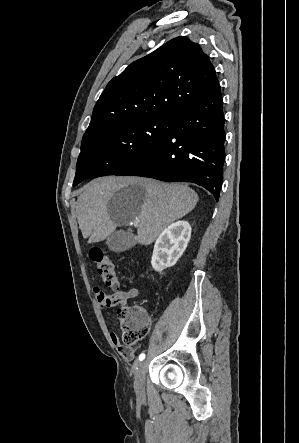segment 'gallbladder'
Returning a JSON list of instances; mask_svg holds the SVG:
<instances>
[{
    "mask_svg": "<svg viewBox=\"0 0 299 443\" xmlns=\"http://www.w3.org/2000/svg\"><path fill=\"white\" fill-rule=\"evenodd\" d=\"M106 245L113 252H123L133 246V235L126 231H115L106 240Z\"/></svg>",
    "mask_w": 299,
    "mask_h": 443,
    "instance_id": "bac80fb5",
    "label": "gallbladder"
}]
</instances>
